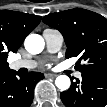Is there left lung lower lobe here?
Segmentation results:
<instances>
[{
    "label": "left lung lower lobe",
    "instance_id": "1",
    "mask_svg": "<svg viewBox=\"0 0 107 107\" xmlns=\"http://www.w3.org/2000/svg\"><path fill=\"white\" fill-rule=\"evenodd\" d=\"M60 97L66 107H106L107 77L82 74Z\"/></svg>",
    "mask_w": 107,
    "mask_h": 107
}]
</instances>
